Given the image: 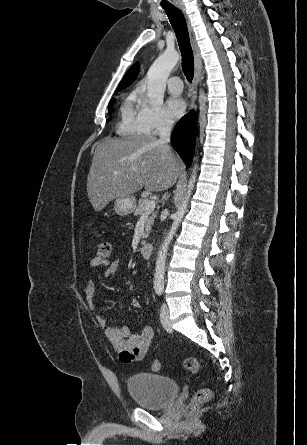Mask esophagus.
<instances>
[{
	"mask_svg": "<svg viewBox=\"0 0 307 445\" xmlns=\"http://www.w3.org/2000/svg\"><path fill=\"white\" fill-rule=\"evenodd\" d=\"M176 6L178 7V9L181 10V12L183 13V15L185 17V21H186L188 32H189L191 47H192V51H193V55H194V77H193L192 87H191V104H190V109H194L195 108V99L197 97L198 83H199V80L201 77V72H202V57L200 55V50L198 47V43H197V40L195 37L194 30L191 27V22L187 16V13H186L183 3H176Z\"/></svg>",
	"mask_w": 307,
	"mask_h": 445,
	"instance_id": "esophagus-1",
	"label": "esophagus"
}]
</instances>
